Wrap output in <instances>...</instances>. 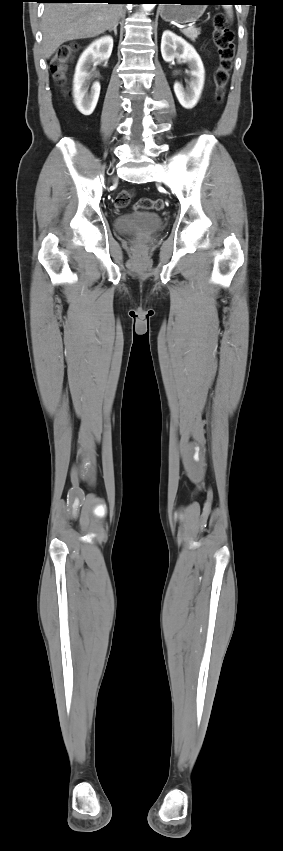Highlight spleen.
<instances>
[{
    "label": "spleen",
    "mask_w": 283,
    "mask_h": 851,
    "mask_svg": "<svg viewBox=\"0 0 283 851\" xmlns=\"http://www.w3.org/2000/svg\"><path fill=\"white\" fill-rule=\"evenodd\" d=\"M225 9H226V11H227L228 16H229L230 18H232V16H233L232 8L227 6V7H225Z\"/></svg>",
    "instance_id": "spleen-1"
}]
</instances>
